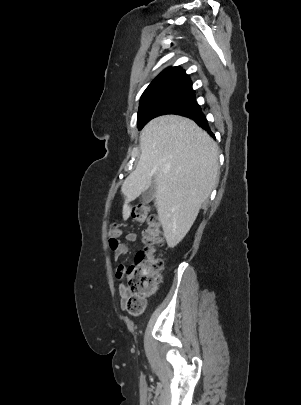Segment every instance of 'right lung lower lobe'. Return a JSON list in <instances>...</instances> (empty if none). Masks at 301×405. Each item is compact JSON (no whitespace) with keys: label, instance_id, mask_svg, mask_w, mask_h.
Masks as SVG:
<instances>
[{"label":"right lung lower lobe","instance_id":"obj_1","mask_svg":"<svg viewBox=\"0 0 301 405\" xmlns=\"http://www.w3.org/2000/svg\"><path fill=\"white\" fill-rule=\"evenodd\" d=\"M180 115H183L185 117H189L191 119H193L200 127H202L203 129L207 130L213 137L214 135L212 134L208 122L204 116V114L202 113L201 109H197V110H193V111H189V112H184Z\"/></svg>","mask_w":301,"mask_h":405}]
</instances>
